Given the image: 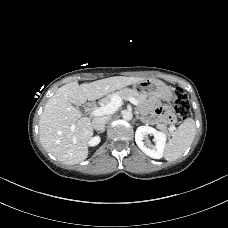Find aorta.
Segmentation results:
<instances>
[{"instance_id":"aorta-1","label":"aorta","mask_w":228,"mask_h":228,"mask_svg":"<svg viewBox=\"0 0 228 228\" xmlns=\"http://www.w3.org/2000/svg\"><path fill=\"white\" fill-rule=\"evenodd\" d=\"M122 117H123L124 120L130 121V120H132V118H133V114H132L131 111L125 110V111H123V113H122Z\"/></svg>"}]
</instances>
